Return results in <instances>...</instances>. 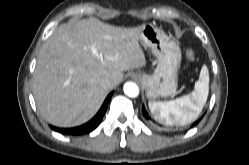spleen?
<instances>
[{"label":"spleen","mask_w":249,"mask_h":165,"mask_svg":"<svg viewBox=\"0 0 249 165\" xmlns=\"http://www.w3.org/2000/svg\"><path fill=\"white\" fill-rule=\"evenodd\" d=\"M209 93V71L203 65L199 80L192 93L166 102L149 101V109L154 118L166 125H186L197 119Z\"/></svg>","instance_id":"1"}]
</instances>
